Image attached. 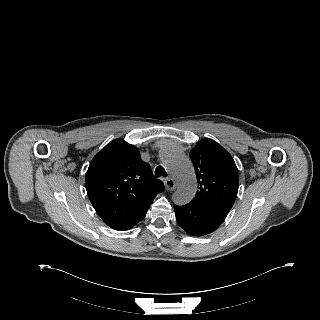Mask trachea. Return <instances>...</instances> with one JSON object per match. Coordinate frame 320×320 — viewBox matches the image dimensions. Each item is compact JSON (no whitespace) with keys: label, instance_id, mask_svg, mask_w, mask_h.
<instances>
[{"label":"trachea","instance_id":"obj_1","mask_svg":"<svg viewBox=\"0 0 320 320\" xmlns=\"http://www.w3.org/2000/svg\"><path fill=\"white\" fill-rule=\"evenodd\" d=\"M167 173L165 171V169L162 166H158L155 169V177H166Z\"/></svg>","mask_w":320,"mask_h":320}]
</instances>
